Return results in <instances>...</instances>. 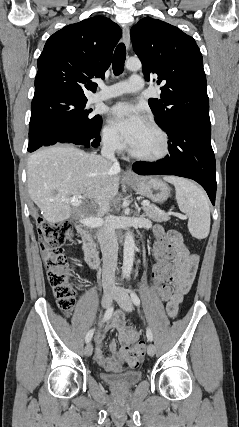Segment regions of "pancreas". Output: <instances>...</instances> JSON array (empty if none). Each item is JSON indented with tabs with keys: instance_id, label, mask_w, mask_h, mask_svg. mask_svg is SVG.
<instances>
[{
	"instance_id": "1",
	"label": "pancreas",
	"mask_w": 239,
	"mask_h": 427,
	"mask_svg": "<svg viewBox=\"0 0 239 427\" xmlns=\"http://www.w3.org/2000/svg\"><path fill=\"white\" fill-rule=\"evenodd\" d=\"M143 210L146 214V217L155 221V222H166L169 220V214L160 212L154 204H149L148 206L143 207Z\"/></svg>"
}]
</instances>
